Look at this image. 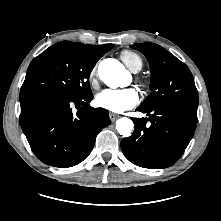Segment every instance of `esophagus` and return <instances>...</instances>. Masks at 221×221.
Segmentation results:
<instances>
[{
	"instance_id": "obj_1",
	"label": "esophagus",
	"mask_w": 221,
	"mask_h": 221,
	"mask_svg": "<svg viewBox=\"0 0 221 221\" xmlns=\"http://www.w3.org/2000/svg\"><path fill=\"white\" fill-rule=\"evenodd\" d=\"M109 117H110L111 121L114 122L119 117V115L115 114V113H110Z\"/></svg>"
}]
</instances>
